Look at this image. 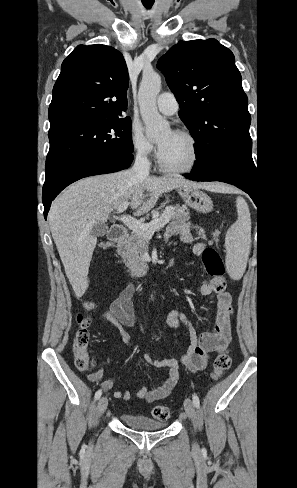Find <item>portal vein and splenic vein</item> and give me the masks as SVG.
Listing matches in <instances>:
<instances>
[{"mask_svg":"<svg viewBox=\"0 0 297 488\" xmlns=\"http://www.w3.org/2000/svg\"><path fill=\"white\" fill-rule=\"evenodd\" d=\"M129 206V202H123L117 207V212H124ZM171 208L167 207L159 218H155L150 223L141 222L131 216H121L123 223L132 231L142 234L145 238H151L154 232L164 227L169 222V212Z\"/></svg>","mask_w":297,"mask_h":488,"instance_id":"1","label":"portal vein and splenic vein"}]
</instances>
